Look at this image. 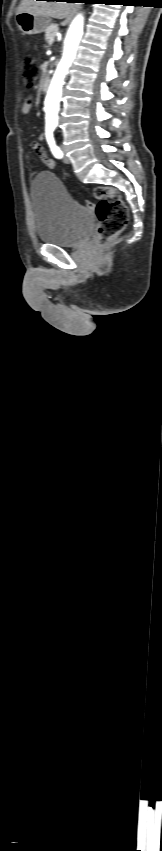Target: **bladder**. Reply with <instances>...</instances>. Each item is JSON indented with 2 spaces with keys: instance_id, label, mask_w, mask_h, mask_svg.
Wrapping results in <instances>:
<instances>
[{
  "instance_id": "1",
  "label": "bladder",
  "mask_w": 162,
  "mask_h": 851,
  "mask_svg": "<svg viewBox=\"0 0 162 851\" xmlns=\"http://www.w3.org/2000/svg\"><path fill=\"white\" fill-rule=\"evenodd\" d=\"M36 234L40 241L63 248L81 245L91 235L95 217L75 201L61 180L50 172L38 174L31 183Z\"/></svg>"
}]
</instances>
